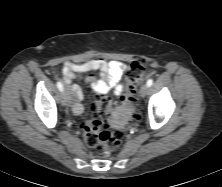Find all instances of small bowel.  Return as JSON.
Returning <instances> with one entry per match:
<instances>
[{
    "label": "small bowel",
    "instance_id": "c3829d8e",
    "mask_svg": "<svg viewBox=\"0 0 222 187\" xmlns=\"http://www.w3.org/2000/svg\"><path fill=\"white\" fill-rule=\"evenodd\" d=\"M125 64L120 61H106L104 59H92L85 63L65 62L61 69V74L64 83L67 86L69 93L72 96L73 111L76 114L83 112L82 89L76 85L71 84L72 80L83 75L88 74L85 82L90 84L93 91L99 95L107 94L113 90L116 95H121L124 91L123 75L125 72ZM94 71L101 72V78L97 79Z\"/></svg>",
    "mask_w": 222,
    "mask_h": 187
}]
</instances>
